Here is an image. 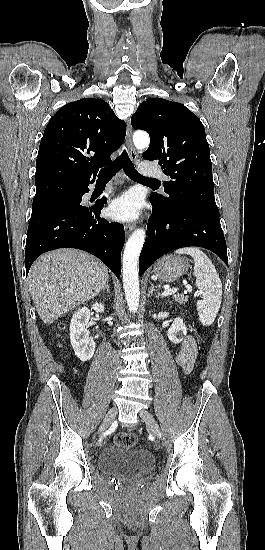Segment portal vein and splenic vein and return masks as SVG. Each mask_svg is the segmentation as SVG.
<instances>
[{
  "mask_svg": "<svg viewBox=\"0 0 265 550\" xmlns=\"http://www.w3.org/2000/svg\"><path fill=\"white\" fill-rule=\"evenodd\" d=\"M185 286H186L188 292L192 291V287L190 285L186 284ZM177 291H178L177 288L167 289L162 293V296L166 297V296H169V295H172V294L176 293Z\"/></svg>",
  "mask_w": 265,
  "mask_h": 550,
  "instance_id": "18ae733b",
  "label": "portal vein and splenic vein"
}]
</instances>
